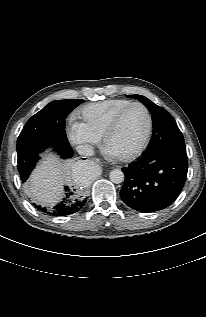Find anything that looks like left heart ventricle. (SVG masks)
Returning a JSON list of instances; mask_svg holds the SVG:
<instances>
[{"mask_svg":"<svg viewBox=\"0 0 206 317\" xmlns=\"http://www.w3.org/2000/svg\"><path fill=\"white\" fill-rule=\"evenodd\" d=\"M147 128V118L141 107H133L122 119L120 125L108 140V149L114 154H126L143 141Z\"/></svg>","mask_w":206,"mask_h":317,"instance_id":"1","label":"left heart ventricle"}]
</instances>
